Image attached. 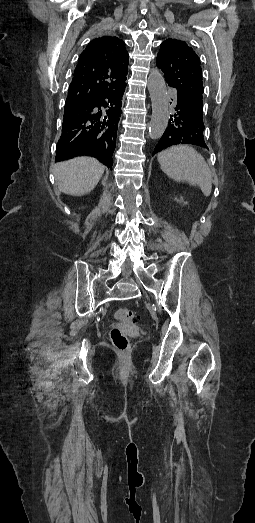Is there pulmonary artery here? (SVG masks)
Wrapping results in <instances>:
<instances>
[{"mask_svg": "<svg viewBox=\"0 0 255 523\" xmlns=\"http://www.w3.org/2000/svg\"><path fill=\"white\" fill-rule=\"evenodd\" d=\"M170 98H171L172 100H175V99L177 98V95H176L175 93H172V94L170 95Z\"/></svg>", "mask_w": 255, "mask_h": 523, "instance_id": "pulmonary-artery-1", "label": "pulmonary artery"}]
</instances>
